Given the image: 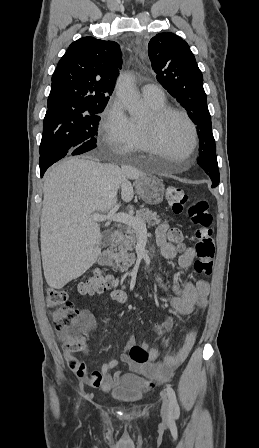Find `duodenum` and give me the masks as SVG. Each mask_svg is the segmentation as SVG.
I'll list each match as a JSON object with an SVG mask.
<instances>
[{
	"instance_id": "duodenum-1",
	"label": "duodenum",
	"mask_w": 259,
	"mask_h": 448,
	"mask_svg": "<svg viewBox=\"0 0 259 448\" xmlns=\"http://www.w3.org/2000/svg\"><path fill=\"white\" fill-rule=\"evenodd\" d=\"M122 237L121 230L112 232L110 244L105 248L99 256V264L106 267L116 268V263L113 256V249L119 244Z\"/></svg>"
}]
</instances>
